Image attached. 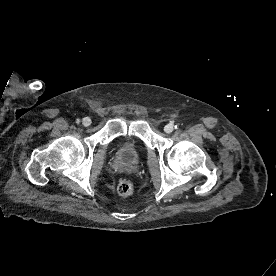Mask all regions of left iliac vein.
<instances>
[{
	"label": "left iliac vein",
	"mask_w": 276,
	"mask_h": 276,
	"mask_svg": "<svg viewBox=\"0 0 276 276\" xmlns=\"http://www.w3.org/2000/svg\"><path fill=\"white\" fill-rule=\"evenodd\" d=\"M174 130V126L172 124H167L165 127H164V131L166 133H171L172 131Z\"/></svg>",
	"instance_id": "4c4485c4"
}]
</instances>
